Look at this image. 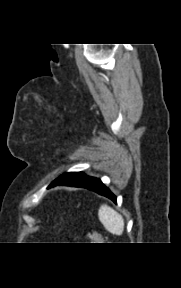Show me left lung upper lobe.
I'll return each instance as SVG.
<instances>
[{
	"mask_svg": "<svg viewBox=\"0 0 181 288\" xmlns=\"http://www.w3.org/2000/svg\"><path fill=\"white\" fill-rule=\"evenodd\" d=\"M87 177L88 176L82 172H70V173H65V174L61 175L55 181L61 185L69 186V185L76 184V183L84 180Z\"/></svg>",
	"mask_w": 181,
	"mask_h": 288,
	"instance_id": "left-lung-upper-lobe-1",
	"label": "left lung upper lobe"
}]
</instances>
